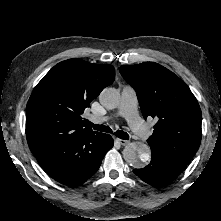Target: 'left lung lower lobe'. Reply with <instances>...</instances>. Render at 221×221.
Instances as JSON below:
<instances>
[{"label":"left lung lower lobe","instance_id":"left-lung-lower-lobe-1","mask_svg":"<svg viewBox=\"0 0 221 221\" xmlns=\"http://www.w3.org/2000/svg\"><path fill=\"white\" fill-rule=\"evenodd\" d=\"M184 168L159 154L152 153L150 163L142 169H134L133 172L146 183L160 186L174 180Z\"/></svg>","mask_w":221,"mask_h":221}]
</instances>
